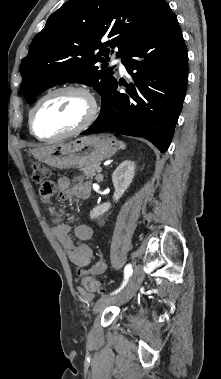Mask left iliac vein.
<instances>
[{"label": "left iliac vein", "instance_id": "obj_1", "mask_svg": "<svg viewBox=\"0 0 221 379\" xmlns=\"http://www.w3.org/2000/svg\"><path fill=\"white\" fill-rule=\"evenodd\" d=\"M143 280L142 266L137 265L128 286L117 295L100 298L93 307L94 312H101L110 305H120L128 302L135 295Z\"/></svg>", "mask_w": 221, "mask_h": 379}]
</instances>
